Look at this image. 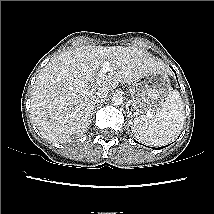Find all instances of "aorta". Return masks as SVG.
<instances>
[{"instance_id": "762f6f07", "label": "aorta", "mask_w": 214, "mask_h": 214, "mask_svg": "<svg viewBox=\"0 0 214 214\" xmlns=\"http://www.w3.org/2000/svg\"><path fill=\"white\" fill-rule=\"evenodd\" d=\"M123 103V96L121 94H115L113 97H112V104L114 106H119Z\"/></svg>"}]
</instances>
